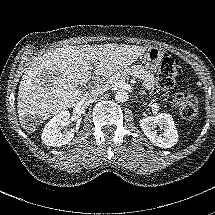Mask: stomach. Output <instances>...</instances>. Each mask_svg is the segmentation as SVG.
<instances>
[{
  "instance_id": "0dacf381",
  "label": "stomach",
  "mask_w": 215,
  "mask_h": 215,
  "mask_svg": "<svg viewBox=\"0 0 215 215\" xmlns=\"http://www.w3.org/2000/svg\"><path fill=\"white\" fill-rule=\"evenodd\" d=\"M164 50L156 46H150L141 55V60L144 67L151 71H156L158 67L162 64L164 59Z\"/></svg>"
}]
</instances>
